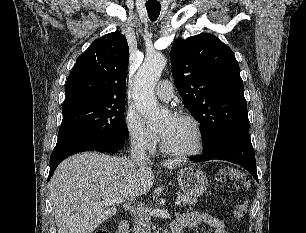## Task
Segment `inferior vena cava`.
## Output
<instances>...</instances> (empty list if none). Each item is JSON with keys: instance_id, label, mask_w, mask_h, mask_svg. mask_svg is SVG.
Listing matches in <instances>:
<instances>
[{"instance_id": "inferior-vena-cava-1", "label": "inferior vena cava", "mask_w": 306, "mask_h": 233, "mask_svg": "<svg viewBox=\"0 0 306 233\" xmlns=\"http://www.w3.org/2000/svg\"><path fill=\"white\" fill-rule=\"evenodd\" d=\"M131 159L138 165L150 162L146 155V146L144 142L135 141L131 147ZM136 223L141 228V233H151V218L142 204H138L132 210Z\"/></svg>"}]
</instances>
